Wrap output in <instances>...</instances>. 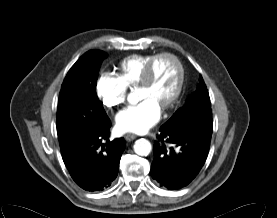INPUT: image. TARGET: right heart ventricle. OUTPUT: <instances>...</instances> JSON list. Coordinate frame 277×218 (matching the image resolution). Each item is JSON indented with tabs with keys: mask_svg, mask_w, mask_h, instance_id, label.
Returning a JSON list of instances; mask_svg holds the SVG:
<instances>
[{
	"mask_svg": "<svg viewBox=\"0 0 277 218\" xmlns=\"http://www.w3.org/2000/svg\"><path fill=\"white\" fill-rule=\"evenodd\" d=\"M154 56V54L133 55L120 63L121 78L127 86L133 87L140 83L147 65Z\"/></svg>",
	"mask_w": 277,
	"mask_h": 218,
	"instance_id": "1",
	"label": "right heart ventricle"
}]
</instances>
